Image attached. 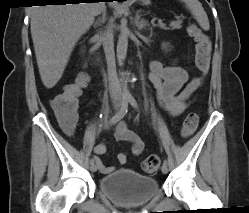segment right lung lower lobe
Listing matches in <instances>:
<instances>
[{"mask_svg":"<svg viewBox=\"0 0 249 213\" xmlns=\"http://www.w3.org/2000/svg\"><path fill=\"white\" fill-rule=\"evenodd\" d=\"M43 3H54V4H66V3H78L81 1H96V0H44ZM104 1H116V0H104ZM117 1H125V0H117ZM93 3V2H92Z\"/></svg>","mask_w":249,"mask_h":213,"instance_id":"obj_1","label":"right lung lower lobe"}]
</instances>
